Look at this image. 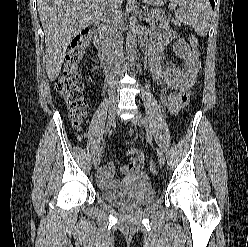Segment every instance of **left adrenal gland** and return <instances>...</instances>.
Returning <instances> with one entry per match:
<instances>
[{
  "instance_id": "left-adrenal-gland-1",
  "label": "left adrenal gland",
  "mask_w": 248,
  "mask_h": 247,
  "mask_svg": "<svg viewBox=\"0 0 248 247\" xmlns=\"http://www.w3.org/2000/svg\"><path fill=\"white\" fill-rule=\"evenodd\" d=\"M144 16H145V21L146 22H150V18H149V16L147 15V12L146 11H144Z\"/></svg>"
}]
</instances>
